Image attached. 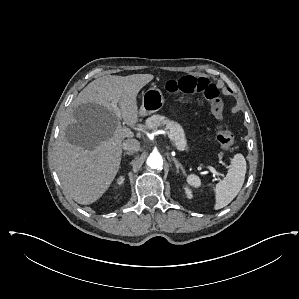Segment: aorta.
I'll return each instance as SVG.
<instances>
[{
    "label": "aorta",
    "instance_id": "1",
    "mask_svg": "<svg viewBox=\"0 0 299 299\" xmlns=\"http://www.w3.org/2000/svg\"><path fill=\"white\" fill-rule=\"evenodd\" d=\"M147 165L151 169H160L163 166L162 156L158 153H152L147 159Z\"/></svg>",
    "mask_w": 299,
    "mask_h": 299
}]
</instances>
